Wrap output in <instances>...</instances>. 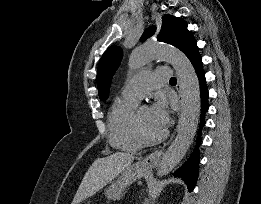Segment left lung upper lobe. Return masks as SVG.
<instances>
[{"label": "left lung upper lobe", "mask_w": 261, "mask_h": 204, "mask_svg": "<svg viewBox=\"0 0 261 204\" xmlns=\"http://www.w3.org/2000/svg\"><path fill=\"white\" fill-rule=\"evenodd\" d=\"M155 26L147 28L142 34L140 41H145L155 33ZM193 35L187 30V24L184 20L164 15L162 27L157 40L171 44L181 51L192 40ZM122 58V49L119 46H110L99 61L97 70V87L100 100H106L109 95L111 79L118 68Z\"/></svg>", "instance_id": "obj_1"}]
</instances>
